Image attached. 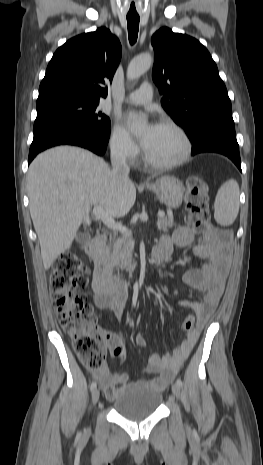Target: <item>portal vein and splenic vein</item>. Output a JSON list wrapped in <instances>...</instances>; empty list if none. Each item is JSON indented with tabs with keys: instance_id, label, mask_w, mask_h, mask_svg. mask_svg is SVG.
I'll return each instance as SVG.
<instances>
[{
	"instance_id": "1",
	"label": "portal vein and splenic vein",
	"mask_w": 263,
	"mask_h": 465,
	"mask_svg": "<svg viewBox=\"0 0 263 465\" xmlns=\"http://www.w3.org/2000/svg\"><path fill=\"white\" fill-rule=\"evenodd\" d=\"M93 214L96 218L100 219L108 228L117 230L123 234L131 235V231L126 227L115 222L114 218L107 213L102 206H94ZM164 213L162 211L158 212V217H163Z\"/></svg>"
}]
</instances>
